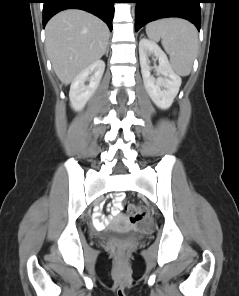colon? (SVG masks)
Segmentation results:
<instances>
[{"instance_id":"5ec220e1","label":"colon","mask_w":239,"mask_h":296,"mask_svg":"<svg viewBox=\"0 0 239 296\" xmlns=\"http://www.w3.org/2000/svg\"><path fill=\"white\" fill-rule=\"evenodd\" d=\"M121 197V196H119ZM124 211L128 216L131 223H137L141 221L146 216V210L144 207L136 204H127L124 207ZM114 250L118 254H124L125 248L123 246L117 245L114 247Z\"/></svg>"}]
</instances>
